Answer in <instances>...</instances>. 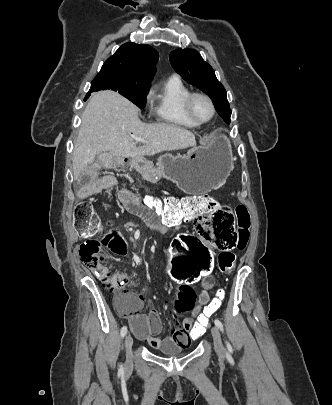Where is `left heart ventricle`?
<instances>
[{"label": "left heart ventricle", "mask_w": 332, "mask_h": 405, "mask_svg": "<svg viewBox=\"0 0 332 405\" xmlns=\"http://www.w3.org/2000/svg\"><path fill=\"white\" fill-rule=\"evenodd\" d=\"M191 108L194 116L200 121L207 120L211 116V106L209 102L202 97L194 98Z\"/></svg>", "instance_id": "left-heart-ventricle-1"}]
</instances>
